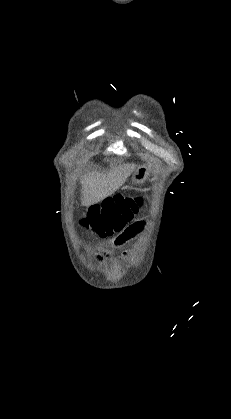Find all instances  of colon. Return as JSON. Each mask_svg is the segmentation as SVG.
<instances>
[{"label": "colon", "instance_id": "colon-1", "mask_svg": "<svg viewBox=\"0 0 231 419\" xmlns=\"http://www.w3.org/2000/svg\"><path fill=\"white\" fill-rule=\"evenodd\" d=\"M140 200L120 194L107 198L102 206H92L89 211L103 235L121 231L137 212Z\"/></svg>", "mask_w": 231, "mask_h": 419}]
</instances>
